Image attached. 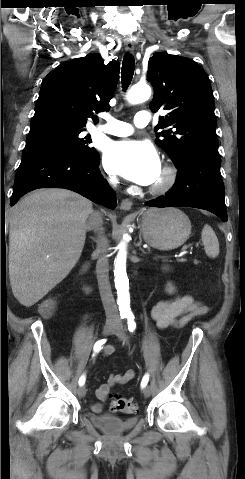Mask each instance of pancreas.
I'll list each match as a JSON object with an SVG mask.
<instances>
[{
    "instance_id": "pancreas-1",
    "label": "pancreas",
    "mask_w": 245,
    "mask_h": 479,
    "mask_svg": "<svg viewBox=\"0 0 245 479\" xmlns=\"http://www.w3.org/2000/svg\"><path fill=\"white\" fill-rule=\"evenodd\" d=\"M186 259H179L178 262H185Z\"/></svg>"
}]
</instances>
